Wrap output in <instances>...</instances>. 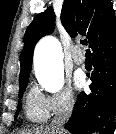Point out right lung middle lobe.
I'll return each mask as SVG.
<instances>
[{
  "label": "right lung middle lobe",
  "instance_id": "obj_1",
  "mask_svg": "<svg viewBox=\"0 0 116 134\" xmlns=\"http://www.w3.org/2000/svg\"><path fill=\"white\" fill-rule=\"evenodd\" d=\"M27 83H28V82L26 81L23 85H21L20 91H19V97H21V96L23 95V92H24V90H25V88H26V86H27ZM20 110H21V102L19 101L18 107H17V111H16V114H15V117L18 116Z\"/></svg>",
  "mask_w": 116,
  "mask_h": 134
}]
</instances>
